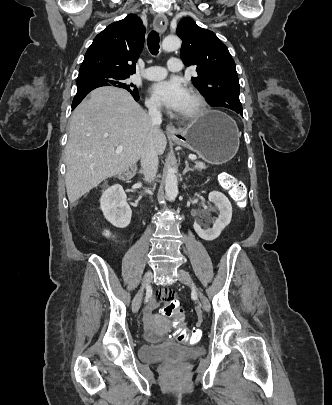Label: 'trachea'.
Returning a JSON list of instances; mask_svg holds the SVG:
<instances>
[{
  "mask_svg": "<svg viewBox=\"0 0 332 405\" xmlns=\"http://www.w3.org/2000/svg\"><path fill=\"white\" fill-rule=\"evenodd\" d=\"M148 49L152 55H157L159 52V34L156 31H151L147 39Z\"/></svg>",
  "mask_w": 332,
  "mask_h": 405,
  "instance_id": "obj_1",
  "label": "trachea"
}]
</instances>
